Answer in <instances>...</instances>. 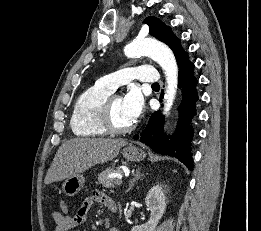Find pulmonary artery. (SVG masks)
I'll return each mask as SVG.
<instances>
[{"label": "pulmonary artery", "instance_id": "pulmonary-artery-1", "mask_svg": "<svg viewBox=\"0 0 261 231\" xmlns=\"http://www.w3.org/2000/svg\"><path fill=\"white\" fill-rule=\"evenodd\" d=\"M130 80L158 83L159 76L157 70L151 66L126 67L103 76L98 82L111 91H115Z\"/></svg>", "mask_w": 261, "mask_h": 231}]
</instances>
